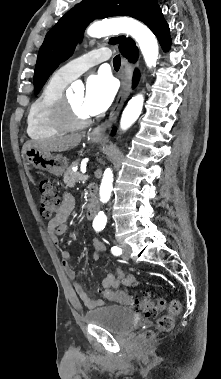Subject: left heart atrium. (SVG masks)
<instances>
[{
	"label": "left heart atrium",
	"instance_id": "left-heart-atrium-1",
	"mask_svg": "<svg viewBox=\"0 0 221 379\" xmlns=\"http://www.w3.org/2000/svg\"><path fill=\"white\" fill-rule=\"evenodd\" d=\"M116 93L114 81L106 74L91 75L86 81L83 110L88 115L104 112L112 103Z\"/></svg>",
	"mask_w": 221,
	"mask_h": 379
}]
</instances>
